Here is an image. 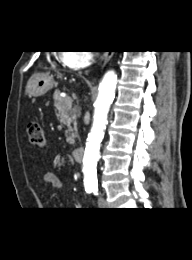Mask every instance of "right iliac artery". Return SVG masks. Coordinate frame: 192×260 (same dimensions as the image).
<instances>
[{"label":"right iliac artery","instance_id":"right-iliac-artery-1","mask_svg":"<svg viewBox=\"0 0 192 260\" xmlns=\"http://www.w3.org/2000/svg\"><path fill=\"white\" fill-rule=\"evenodd\" d=\"M86 191H87V193H91L93 191V188L92 187H87Z\"/></svg>","mask_w":192,"mask_h":260}]
</instances>
